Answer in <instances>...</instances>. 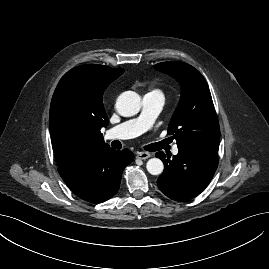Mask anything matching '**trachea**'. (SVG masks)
Segmentation results:
<instances>
[{"instance_id":"3493384b","label":"trachea","mask_w":269,"mask_h":269,"mask_svg":"<svg viewBox=\"0 0 269 269\" xmlns=\"http://www.w3.org/2000/svg\"><path fill=\"white\" fill-rule=\"evenodd\" d=\"M115 148H118V146L114 145Z\"/></svg>"}]
</instances>
